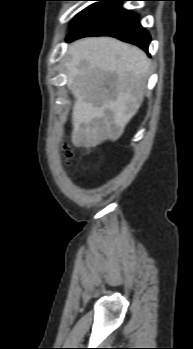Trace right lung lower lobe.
Wrapping results in <instances>:
<instances>
[{"label": "right lung lower lobe", "instance_id": "obj_1", "mask_svg": "<svg viewBox=\"0 0 193 349\" xmlns=\"http://www.w3.org/2000/svg\"><path fill=\"white\" fill-rule=\"evenodd\" d=\"M96 7L67 35V41L86 36H112L135 44L148 52L149 33L140 25L136 14L123 9L119 2L127 0H106Z\"/></svg>", "mask_w": 193, "mask_h": 349}]
</instances>
